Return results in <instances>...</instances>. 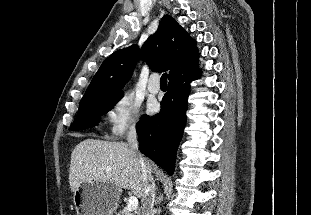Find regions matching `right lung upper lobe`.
Listing matches in <instances>:
<instances>
[{"label": "right lung upper lobe", "instance_id": "obj_1", "mask_svg": "<svg viewBox=\"0 0 311 215\" xmlns=\"http://www.w3.org/2000/svg\"><path fill=\"white\" fill-rule=\"evenodd\" d=\"M196 42L170 16L140 50L137 45L117 50L100 66L80 103L103 96L124 94L121 90L142 58L153 71H169V80L195 67L199 60Z\"/></svg>", "mask_w": 311, "mask_h": 215}]
</instances>
